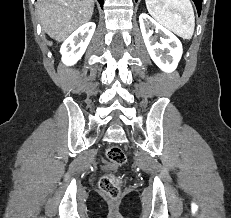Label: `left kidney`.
<instances>
[{"instance_id": "5707ae66", "label": "left kidney", "mask_w": 231, "mask_h": 218, "mask_svg": "<svg viewBox=\"0 0 231 218\" xmlns=\"http://www.w3.org/2000/svg\"><path fill=\"white\" fill-rule=\"evenodd\" d=\"M140 29L147 51L154 63L164 72H173L182 56V44L180 40L168 29L160 25L148 14L139 16ZM155 33L160 34L161 43L157 42Z\"/></svg>"}]
</instances>
